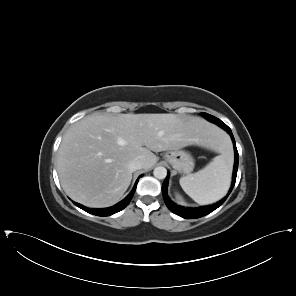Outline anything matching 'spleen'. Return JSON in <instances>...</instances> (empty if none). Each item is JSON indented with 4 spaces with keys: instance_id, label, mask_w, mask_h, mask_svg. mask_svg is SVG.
<instances>
[{
    "instance_id": "spleen-1",
    "label": "spleen",
    "mask_w": 296,
    "mask_h": 296,
    "mask_svg": "<svg viewBox=\"0 0 296 296\" xmlns=\"http://www.w3.org/2000/svg\"><path fill=\"white\" fill-rule=\"evenodd\" d=\"M220 155L194 174L180 178L184 192L198 204H211L224 197L229 189L232 172L230 146L219 139L213 147Z\"/></svg>"
}]
</instances>
